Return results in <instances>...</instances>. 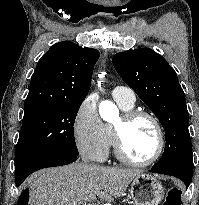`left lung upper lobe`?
<instances>
[{"instance_id":"left-lung-upper-lobe-1","label":"left lung upper lobe","mask_w":199,"mask_h":205,"mask_svg":"<svg viewBox=\"0 0 199 205\" xmlns=\"http://www.w3.org/2000/svg\"><path fill=\"white\" fill-rule=\"evenodd\" d=\"M112 61L123 81L151 109L165 130V150L153 167L177 169L192 176L189 114L175 70L149 48L117 53Z\"/></svg>"}]
</instances>
